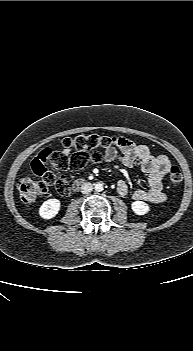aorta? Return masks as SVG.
Listing matches in <instances>:
<instances>
[{"mask_svg": "<svg viewBox=\"0 0 193 351\" xmlns=\"http://www.w3.org/2000/svg\"><path fill=\"white\" fill-rule=\"evenodd\" d=\"M94 189H95V191L96 192H102L103 191V184L102 183H96L95 185H94Z\"/></svg>", "mask_w": 193, "mask_h": 351, "instance_id": "1", "label": "aorta"}]
</instances>
